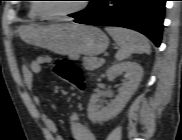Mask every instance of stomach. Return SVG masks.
Wrapping results in <instances>:
<instances>
[{"mask_svg":"<svg viewBox=\"0 0 182 140\" xmlns=\"http://www.w3.org/2000/svg\"><path fill=\"white\" fill-rule=\"evenodd\" d=\"M18 32L23 41L59 55L93 57L103 53L109 44L102 30L80 24H28L20 26Z\"/></svg>","mask_w":182,"mask_h":140,"instance_id":"0dacf381","label":"stomach"}]
</instances>
